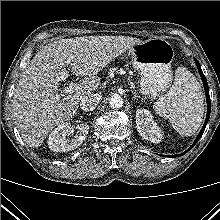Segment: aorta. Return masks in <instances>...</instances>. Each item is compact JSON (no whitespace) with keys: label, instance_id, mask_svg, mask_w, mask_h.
Listing matches in <instances>:
<instances>
[{"label":"aorta","instance_id":"762f6f07","mask_svg":"<svg viewBox=\"0 0 220 220\" xmlns=\"http://www.w3.org/2000/svg\"><path fill=\"white\" fill-rule=\"evenodd\" d=\"M123 103V98L118 94L112 95L109 100V104L112 108H121L123 106Z\"/></svg>","mask_w":220,"mask_h":220}]
</instances>
